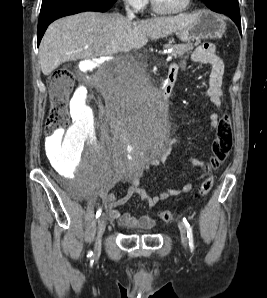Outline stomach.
<instances>
[{
  "label": "stomach",
  "instance_id": "0dacf381",
  "mask_svg": "<svg viewBox=\"0 0 267 298\" xmlns=\"http://www.w3.org/2000/svg\"><path fill=\"white\" fill-rule=\"evenodd\" d=\"M196 21L186 28L180 29L176 35L180 40L189 42L198 39L221 38L226 30V17L211 11L196 13Z\"/></svg>",
  "mask_w": 267,
  "mask_h": 298
}]
</instances>
